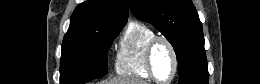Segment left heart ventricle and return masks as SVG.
Wrapping results in <instances>:
<instances>
[{
	"mask_svg": "<svg viewBox=\"0 0 260 84\" xmlns=\"http://www.w3.org/2000/svg\"><path fill=\"white\" fill-rule=\"evenodd\" d=\"M153 66L159 80H167L172 74L173 59L169 48L160 43L155 50Z\"/></svg>",
	"mask_w": 260,
	"mask_h": 84,
	"instance_id": "obj_1",
	"label": "left heart ventricle"
}]
</instances>
